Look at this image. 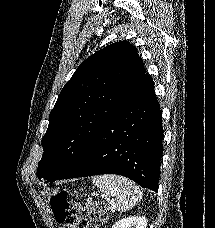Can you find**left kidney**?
Returning <instances> with one entry per match:
<instances>
[{"label": "left kidney", "mask_w": 215, "mask_h": 228, "mask_svg": "<svg viewBox=\"0 0 215 228\" xmlns=\"http://www.w3.org/2000/svg\"><path fill=\"white\" fill-rule=\"evenodd\" d=\"M146 218H140V216H131V218H123L116 222L112 228H146Z\"/></svg>", "instance_id": "1"}]
</instances>
